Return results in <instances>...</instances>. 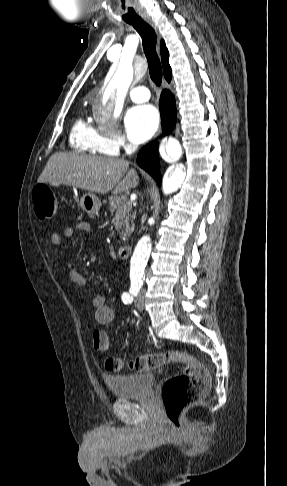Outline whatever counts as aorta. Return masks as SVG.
<instances>
[{"label":"aorta","instance_id":"aorta-1","mask_svg":"<svg viewBox=\"0 0 287 486\" xmlns=\"http://www.w3.org/2000/svg\"><path fill=\"white\" fill-rule=\"evenodd\" d=\"M134 70L131 63L120 62L115 74L109 81L104 92L100 94L94 106V116L102 123H109L116 119L123 107V100L133 80ZM167 154L175 159L182 155V148L178 140L169 138L166 143ZM186 176L183 165H176L163 181V192L170 194L177 191ZM151 253V238L144 235L140 238L131 258V281L141 279L145 264Z\"/></svg>","mask_w":287,"mask_h":486}]
</instances>
